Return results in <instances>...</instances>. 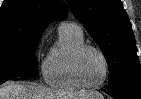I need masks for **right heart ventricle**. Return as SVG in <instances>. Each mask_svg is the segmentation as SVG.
Returning <instances> with one entry per match:
<instances>
[{"mask_svg":"<svg viewBox=\"0 0 141 99\" xmlns=\"http://www.w3.org/2000/svg\"><path fill=\"white\" fill-rule=\"evenodd\" d=\"M83 44V34L59 32L57 46L50 51L43 63V77L49 86L64 91L83 88L74 76L72 65L76 50Z\"/></svg>","mask_w":141,"mask_h":99,"instance_id":"right-heart-ventricle-1","label":"right heart ventricle"}]
</instances>
